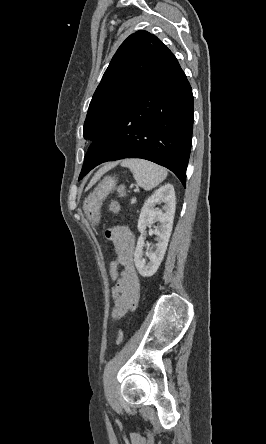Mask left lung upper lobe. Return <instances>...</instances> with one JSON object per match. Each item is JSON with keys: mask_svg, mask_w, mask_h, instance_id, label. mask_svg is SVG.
<instances>
[{"mask_svg": "<svg viewBox=\"0 0 266 444\" xmlns=\"http://www.w3.org/2000/svg\"><path fill=\"white\" fill-rule=\"evenodd\" d=\"M178 66L156 36L147 31L131 34L116 51L92 97L84 137L94 141L110 121Z\"/></svg>", "mask_w": 266, "mask_h": 444, "instance_id": "1", "label": "left lung upper lobe"}]
</instances>
